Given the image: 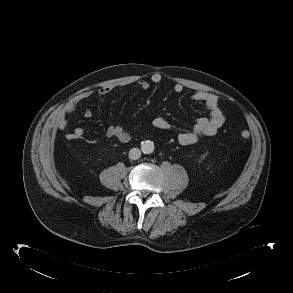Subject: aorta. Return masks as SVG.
<instances>
[{
	"instance_id": "1",
	"label": "aorta",
	"mask_w": 293,
	"mask_h": 293,
	"mask_svg": "<svg viewBox=\"0 0 293 293\" xmlns=\"http://www.w3.org/2000/svg\"><path fill=\"white\" fill-rule=\"evenodd\" d=\"M141 150L145 154H150L154 151V143L152 141H143L141 143Z\"/></svg>"
}]
</instances>
